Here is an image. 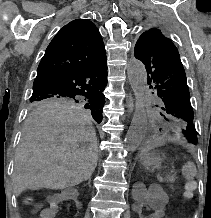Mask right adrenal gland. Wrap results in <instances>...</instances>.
Here are the masks:
<instances>
[{
    "label": "right adrenal gland",
    "mask_w": 211,
    "mask_h": 218,
    "mask_svg": "<svg viewBox=\"0 0 211 218\" xmlns=\"http://www.w3.org/2000/svg\"><path fill=\"white\" fill-rule=\"evenodd\" d=\"M90 182H91V178H89V180H88V184H89V186H90Z\"/></svg>",
    "instance_id": "obj_1"
}]
</instances>
